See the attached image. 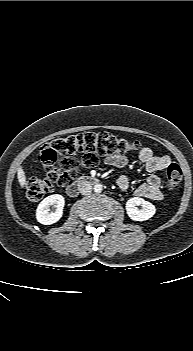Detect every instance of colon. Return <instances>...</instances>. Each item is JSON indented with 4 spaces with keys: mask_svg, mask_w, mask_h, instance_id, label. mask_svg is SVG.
I'll list each match as a JSON object with an SVG mask.
<instances>
[{
    "mask_svg": "<svg viewBox=\"0 0 193 351\" xmlns=\"http://www.w3.org/2000/svg\"><path fill=\"white\" fill-rule=\"evenodd\" d=\"M139 148L138 141L120 138L109 132H88L58 138L40 148L38 159L47 171V176L33 178L27 182V198L32 201L42 199L49 193L53 183L59 187L68 186L77 178L82 167H95L103 156L126 154ZM76 153L82 154L80 159L69 157ZM57 162L60 169L55 167ZM165 178L169 189L177 188L182 181L179 165H168Z\"/></svg>",
    "mask_w": 193,
    "mask_h": 351,
    "instance_id": "1",
    "label": "colon"
}]
</instances>
